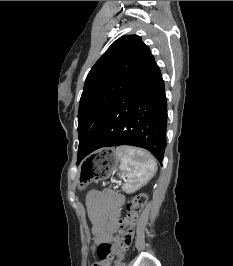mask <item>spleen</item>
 Listing matches in <instances>:
<instances>
[{
  "label": "spleen",
  "instance_id": "3e777b00",
  "mask_svg": "<svg viewBox=\"0 0 233 266\" xmlns=\"http://www.w3.org/2000/svg\"><path fill=\"white\" fill-rule=\"evenodd\" d=\"M115 154L120 158L122 178L125 180L123 189L127 192L138 190L156 173L155 160L150 154L141 149L123 146L118 147Z\"/></svg>",
  "mask_w": 233,
  "mask_h": 266
}]
</instances>
